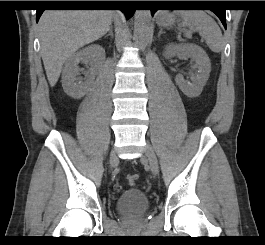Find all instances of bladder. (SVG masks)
Segmentation results:
<instances>
[{
    "label": "bladder",
    "mask_w": 265,
    "mask_h": 245,
    "mask_svg": "<svg viewBox=\"0 0 265 245\" xmlns=\"http://www.w3.org/2000/svg\"><path fill=\"white\" fill-rule=\"evenodd\" d=\"M150 208L147 195L138 189L124 190L116 201L117 213L126 218H135L145 214Z\"/></svg>",
    "instance_id": "1"
}]
</instances>
